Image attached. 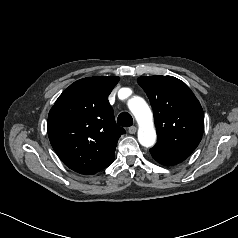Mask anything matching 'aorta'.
<instances>
[{"mask_svg": "<svg viewBox=\"0 0 238 238\" xmlns=\"http://www.w3.org/2000/svg\"><path fill=\"white\" fill-rule=\"evenodd\" d=\"M128 107L139 125L138 141L144 147H152L156 142V130L152 112L141 97H133L128 101Z\"/></svg>", "mask_w": 238, "mask_h": 238, "instance_id": "obj_1", "label": "aorta"}]
</instances>
